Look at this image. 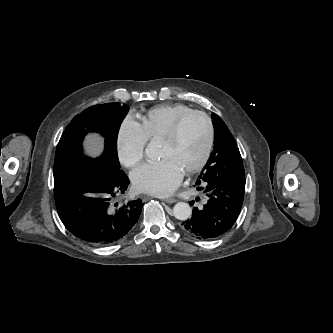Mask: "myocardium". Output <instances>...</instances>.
Masks as SVG:
<instances>
[{
    "label": "myocardium",
    "instance_id": "1",
    "mask_svg": "<svg viewBox=\"0 0 333 333\" xmlns=\"http://www.w3.org/2000/svg\"><path fill=\"white\" fill-rule=\"evenodd\" d=\"M194 116H198L201 117L202 119H204L206 125H207V132H208V136H207V143H206V147L204 150L203 155L201 156L200 160L195 163L194 165H192L191 167L187 168L185 170L186 174H192L195 173L197 171H199L200 169H202L206 163L208 162L213 147H214V142H215V129H214V124L213 121L211 119V117L204 111H200V110H192L190 112H187L183 115H181L179 118H177L174 123L171 125V127L169 128L168 132L162 137V141L171 143L177 140L178 136H179V132L181 130L182 125L191 117Z\"/></svg>",
    "mask_w": 333,
    "mask_h": 333
}]
</instances>
